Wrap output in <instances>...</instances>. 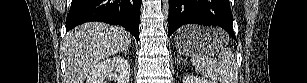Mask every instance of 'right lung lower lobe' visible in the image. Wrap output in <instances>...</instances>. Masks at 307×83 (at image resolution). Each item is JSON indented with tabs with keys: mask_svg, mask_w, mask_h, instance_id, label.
I'll list each match as a JSON object with an SVG mask.
<instances>
[{
	"mask_svg": "<svg viewBox=\"0 0 307 83\" xmlns=\"http://www.w3.org/2000/svg\"><path fill=\"white\" fill-rule=\"evenodd\" d=\"M141 0H72L66 30L98 21L120 24L139 40Z\"/></svg>",
	"mask_w": 307,
	"mask_h": 83,
	"instance_id": "right-lung-lower-lobe-1",
	"label": "right lung lower lobe"
}]
</instances>
